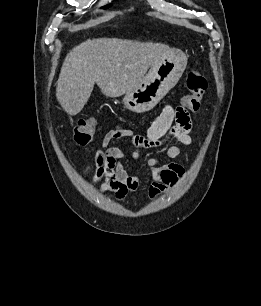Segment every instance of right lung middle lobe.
Masks as SVG:
<instances>
[{
    "mask_svg": "<svg viewBox=\"0 0 261 306\" xmlns=\"http://www.w3.org/2000/svg\"><path fill=\"white\" fill-rule=\"evenodd\" d=\"M109 7H111V4L106 5V6H104L103 8H104V9H107V8H109Z\"/></svg>",
    "mask_w": 261,
    "mask_h": 306,
    "instance_id": "right-lung-middle-lobe-1",
    "label": "right lung middle lobe"
}]
</instances>
